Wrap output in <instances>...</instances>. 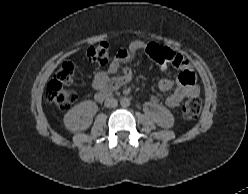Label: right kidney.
Returning a JSON list of instances; mask_svg holds the SVG:
<instances>
[{"instance_id":"obj_1","label":"right kidney","mask_w":248,"mask_h":194,"mask_svg":"<svg viewBox=\"0 0 248 194\" xmlns=\"http://www.w3.org/2000/svg\"><path fill=\"white\" fill-rule=\"evenodd\" d=\"M98 111L95 102L83 101L71 108L63 118L65 128L71 132L86 130L93 122V117Z\"/></svg>"}]
</instances>
